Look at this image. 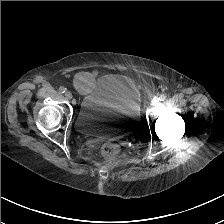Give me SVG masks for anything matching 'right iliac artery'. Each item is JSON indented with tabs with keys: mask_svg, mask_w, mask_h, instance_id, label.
Returning a JSON list of instances; mask_svg holds the SVG:
<instances>
[{
	"mask_svg": "<svg viewBox=\"0 0 224 224\" xmlns=\"http://www.w3.org/2000/svg\"><path fill=\"white\" fill-rule=\"evenodd\" d=\"M65 91H66V88H65V87L61 86V87L59 88V92H60V93H65Z\"/></svg>",
	"mask_w": 224,
	"mask_h": 224,
	"instance_id": "obj_1",
	"label": "right iliac artery"
}]
</instances>
